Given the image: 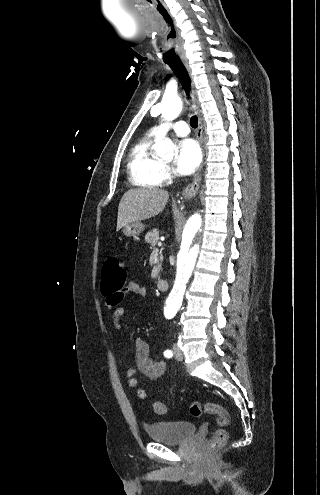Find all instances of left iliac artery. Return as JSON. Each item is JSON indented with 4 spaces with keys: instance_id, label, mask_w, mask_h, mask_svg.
Returning a JSON list of instances; mask_svg holds the SVG:
<instances>
[{
    "instance_id": "obj_1",
    "label": "left iliac artery",
    "mask_w": 320,
    "mask_h": 495,
    "mask_svg": "<svg viewBox=\"0 0 320 495\" xmlns=\"http://www.w3.org/2000/svg\"><path fill=\"white\" fill-rule=\"evenodd\" d=\"M172 355H173V354H172V351H171V350H165V352H164V356H165L166 358H170V357H172Z\"/></svg>"
}]
</instances>
